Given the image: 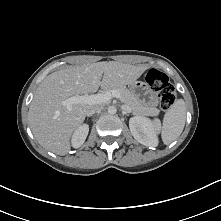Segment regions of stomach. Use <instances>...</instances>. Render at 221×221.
<instances>
[{
	"label": "stomach",
	"instance_id": "1",
	"mask_svg": "<svg viewBox=\"0 0 221 221\" xmlns=\"http://www.w3.org/2000/svg\"><path fill=\"white\" fill-rule=\"evenodd\" d=\"M130 90L140 102L148 105L146 98L150 93V88L147 83L143 81H134L130 84Z\"/></svg>",
	"mask_w": 221,
	"mask_h": 221
}]
</instances>
